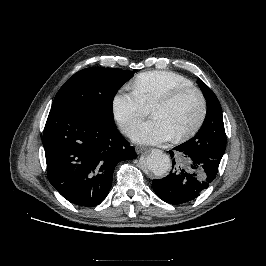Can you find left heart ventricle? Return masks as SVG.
<instances>
[{"instance_id": "1", "label": "left heart ventricle", "mask_w": 266, "mask_h": 266, "mask_svg": "<svg viewBox=\"0 0 266 266\" xmlns=\"http://www.w3.org/2000/svg\"><path fill=\"white\" fill-rule=\"evenodd\" d=\"M199 112L200 101L193 92L183 95L172 104L156 106L151 109L153 118L164 120L172 129L174 135L191 128L196 122Z\"/></svg>"}]
</instances>
